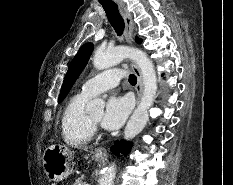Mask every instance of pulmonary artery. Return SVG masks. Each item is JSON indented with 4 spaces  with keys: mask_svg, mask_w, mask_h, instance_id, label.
Instances as JSON below:
<instances>
[{
    "mask_svg": "<svg viewBox=\"0 0 233 185\" xmlns=\"http://www.w3.org/2000/svg\"><path fill=\"white\" fill-rule=\"evenodd\" d=\"M124 77V71L119 68H111L102 71L88 79L81 88V93L92 97L119 84Z\"/></svg>",
    "mask_w": 233,
    "mask_h": 185,
    "instance_id": "1",
    "label": "pulmonary artery"
}]
</instances>
